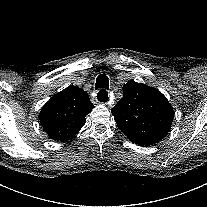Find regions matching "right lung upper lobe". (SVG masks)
<instances>
[{
	"mask_svg": "<svg viewBox=\"0 0 207 207\" xmlns=\"http://www.w3.org/2000/svg\"><path fill=\"white\" fill-rule=\"evenodd\" d=\"M92 108L87 92L78 87H67L43 106L39 120L51 139L64 142L83 127L85 116Z\"/></svg>",
	"mask_w": 207,
	"mask_h": 207,
	"instance_id": "right-lung-upper-lobe-1",
	"label": "right lung upper lobe"
}]
</instances>
